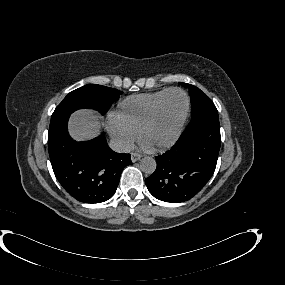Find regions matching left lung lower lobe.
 Returning <instances> with one entry per match:
<instances>
[{
    "label": "left lung lower lobe",
    "instance_id": "0a47b994",
    "mask_svg": "<svg viewBox=\"0 0 285 285\" xmlns=\"http://www.w3.org/2000/svg\"><path fill=\"white\" fill-rule=\"evenodd\" d=\"M220 142L216 107L199 111L175 145L156 157L157 168L145 179L149 192L171 203L194 197L215 171Z\"/></svg>",
    "mask_w": 285,
    "mask_h": 285
}]
</instances>
